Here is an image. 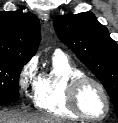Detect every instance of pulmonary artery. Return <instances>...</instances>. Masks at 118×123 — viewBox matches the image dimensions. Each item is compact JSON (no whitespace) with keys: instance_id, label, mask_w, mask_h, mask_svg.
I'll use <instances>...</instances> for the list:
<instances>
[{"instance_id":"e3ab8cb5","label":"pulmonary artery","mask_w":118,"mask_h":123,"mask_svg":"<svg viewBox=\"0 0 118 123\" xmlns=\"http://www.w3.org/2000/svg\"><path fill=\"white\" fill-rule=\"evenodd\" d=\"M55 54H62L61 50H56Z\"/></svg>"}]
</instances>
